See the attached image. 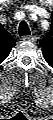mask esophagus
Returning a JSON list of instances; mask_svg holds the SVG:
<instances>
[{
	"label": "esophagus",
	"mask_w": 53,
	"mask_h": 120,
	"mask_svg": "<svg viewBox=\"0 0 53 120\" xmlns=\"http://www.w3.org/2000/svg\"><path fill=\"white\" fill-rule=\"evenodd\" d=\"M22 41H34L35 40V36L30 35V36H23L21 38Z\"/></svg>",
	"instance_id": "obj_1"
}]
</instances>
